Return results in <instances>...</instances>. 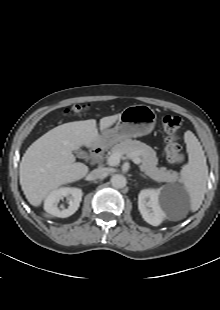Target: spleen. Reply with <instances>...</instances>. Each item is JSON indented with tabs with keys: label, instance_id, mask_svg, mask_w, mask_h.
<instances>
[{
	"label": "spleen",
	"instance_id": "spleen-1",
	"mask_svg": "<svg viewBox=\"0 0 220 310\" xmlns=\"http://www.w3.org/2000/svg\"><path fill=\"white\" fill-rule=\"evenodd\" d=\"M184 140L189 160L188 164L181 169V182L189 194L190 209L195 212L200 208L206 192L208 166L204 151L196 136L191 131H186Z\"/></svg>",
	"mask_w": 220,
	"mask_h": 310
}]
</instances>
